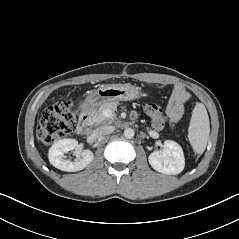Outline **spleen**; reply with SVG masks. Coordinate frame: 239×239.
I'll list each match as a JSON object with an SVG mask.
<instances>
[{
	"label": "spleen",
	"instance_id": "obj_1",
	"mask_svg": "<svg viewBox=\"0 0 239 239\" xmlns=\"http://www.w3.org/2000/svg\"><path fill=\"white\" fill-rule=\"evenodd\" d=\"M210 133L209 116L202 103H196L190 125L188 128V140L195 153L201 155L206 148Z\"/></svg>",
	"mask_w": 239,
	"mask_h": 239
}]
</instances>
